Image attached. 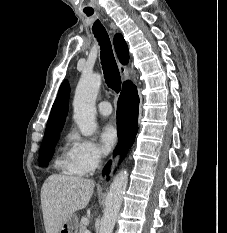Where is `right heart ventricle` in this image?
<instances>
[{
    "instance_id": "e07e8e85",
    "label": "right heart ventricle",
    "mask_w": 227,
    "mask_h": 233,
    "mask_svg": "<svg viewBox=\"0 0 227 233\" xmlns=\"http://www.w3.org/2000/svg\"><path fill=\"white\" fill-rule=\"evenodd\" d=\"M56 165L70 174L79 175V173L74 169L70 157V150L65 151V153L56 161Z\"/></svg>"
}]
</instances>
